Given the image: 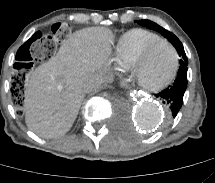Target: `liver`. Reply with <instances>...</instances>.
I'll list each match as a JSON object with an SVG mask.
<instances>
[{"label":"liver","mask_w":215,"mask_h":183,"mask_svg":"<svg viewBox=\"0 0 215 183\" xmlns=\"http://www.w3.org/2000/svg\"><path fill=\"white\" fill-rule=\"evenodd\" d=\"M112 41L107 28L78 30L27 77L24 112L32 132L56 138L70 130L85 96L83 84L105 76Z\"/></svg>","instance_id":"1"}]
</instances>
